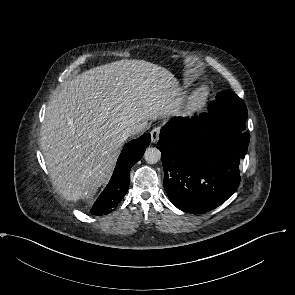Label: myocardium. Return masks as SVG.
<instances>
[{
	"mask_svg": "<svg viewBox=\"0 0 295 295\" xmlns=\"http://www.w3.org/2000/svg\"><path fill=\"white\" fill-rule=\"evenodd\" d=\"M209 96L210 89L207 86H202L193 92L186 103L184 115L187 118L198 116L204 110Z\"/></svg>",
	"mask_w": 295,
	"mask_h": 295,
	"instance_id": "myocardium-1",
	"label": "myocardium"
}]
</instances>
